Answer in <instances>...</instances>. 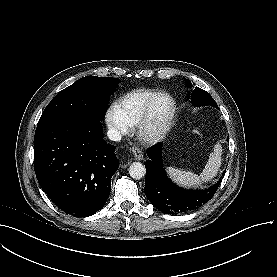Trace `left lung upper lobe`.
Wrapping results in <instances>:
<instances>
[{"label": "left lung upper lobe", "instance_id": "1", "mask_svg": "<svg viewBox=\"0 0 277 277\" xmlns=\"http://www.w3.org/2000/svg\"><path fill=\"white\" fill-rule=\"evenodd\" d=\"M189 87H192V84H190ZM191 102L194 106L197 107L210 105L218 108L212 96L207 91H204L199 87H195L194 91L192 92Z\"/></svg>", "mask_w": 277, "mask_h": 277}]
</instances>
